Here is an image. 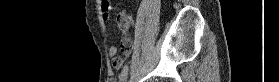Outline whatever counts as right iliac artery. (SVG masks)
Masks as SVG:
<instances>
[{
	"mask_svg": "<svg viewBox=\"0 0 279 82\" xmlns=\"http://www.w3.org/2000/svg\"><path fill=\"white\" fill-rule=\"evenodd\" d=\"M128 65H125L121 71V75H120V81L119 82H125L127 75H128Z\"/></svg>",
	"mask_w": 279,
	"mask_h": 82,
	"instance_id": "1",
	"label": "right iliac artery"
}]
</instances>
